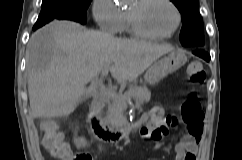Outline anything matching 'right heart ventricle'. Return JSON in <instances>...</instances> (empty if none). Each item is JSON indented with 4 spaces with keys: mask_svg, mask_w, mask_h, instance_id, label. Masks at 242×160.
<instances>
[{
    "mask_svg": "<svg viewBox=\"0 0 242 160\" xmlns=\"http://www.w3.org/2000/svg\"><path fill=\"white\" fill-rule=\"evenodd\" d=\"M120 32L126 33L130 36H133V37L137 36V35L134 34V32L131 29L127 12H122V23H121Z\"/></svg>",
    "mask_w": 242,
    "mask_h": 160,
    "instance_id": "1",
    "label": "right heart ventricle"
}]
</instances>
